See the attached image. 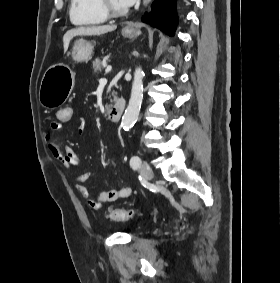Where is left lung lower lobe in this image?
Instances as JSON below:
<instances>
[{
  "label": "left lung lower lobe",
  "instance_id": "0a47b994",
  "mask_svg": "<svg viewBox=\"0 0 280 283\" xmlns=\"http://www.w3.org/2000/svg\"><path fill=\"white\" fill-rule=\"evenodd\" d=\"M142 21L168 35H173L177 25L175 0H156L152 4L151 12L145 13Z\"/></svg>",
  "mask_w": 280,
  "mask_h": 283
}]
</instances>
